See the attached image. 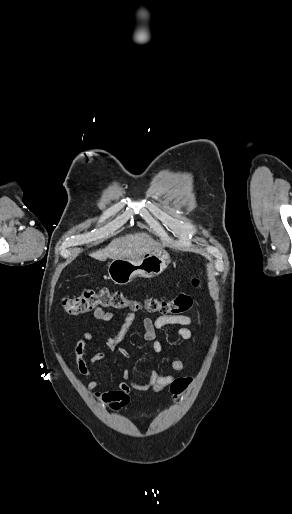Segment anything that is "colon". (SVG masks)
I'll list each match as a JSON object with an SVG mask.
<instances>
[{"instance_id":"obj_1","label":"colon","mask_w":292,"mask_h":514,"mask_svg":"<svg viewBox=\"0 0 292 514\" xmlns=\"http://www.w3.org/2000/svg\"><path fill=\"white\" fill-rule=\"evenodd\" d=\"M201 286V279L198 277L193 282V287L198 289ZM194 291L183 292L175 299L146 298L141 304L134 302L122 291H110L101 289L99 291L86 289L80 295L64 297L62 304L64 311L70 315H82L98 310H122L131 306L151 313L160 315H181L190 311L194 303ZM191 376L185 374L183 379L173 382L168 392L172 396H179L189 385Z\"/></svg>"}]
</instances>
